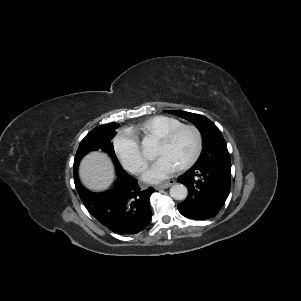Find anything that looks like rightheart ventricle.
Listing matches in <instances>:
<instances>
[{
    "instance_id": "obj_1",
    "label": "right heart ventricle",
    "mask_w": 301,
    "mask_h": 301,
    "mask_svg": "<svg viewBox=\"0 0 301 301\" xmlns=\"http://www.w3.org/2000/svg\"><path fill=\"white\" fill-rule=\"evenodd\" d=\"M183 123L173 117L158 115L144 120L143 122L129 128L137 137H159Z\"/></svg>"
}]
</instances>
